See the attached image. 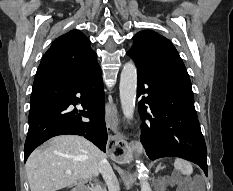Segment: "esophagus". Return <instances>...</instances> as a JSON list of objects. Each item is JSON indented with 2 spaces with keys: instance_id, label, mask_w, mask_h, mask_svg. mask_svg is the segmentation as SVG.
<instances>
[{
  "instance_id": "obj_1",
  "label": "esophagus",
  "mask_w": 233,
  "mask_h": 191,
  "mask_svg": "<svg viewBox=\"0 0 233 191\" xmlns=\"http://www.w3.org/2000/svg\"><path fill=\"white\" fill-rule=\"evenodd\" d=\"M105 113L108 132V142H106L105 151H107L108 156H116L115 162L126 164V159L133 153V150L129 148L126 140L118 129L116 105L108 102L106 104ZM135 147L138 151L142 150L139 142H135Z\"/></svg>"
}]
</instances>
